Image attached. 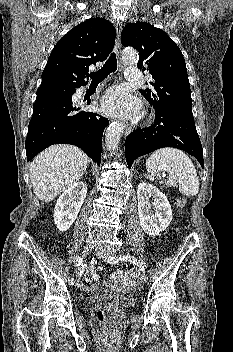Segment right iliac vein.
Returning <instances> with one entry per match:
<instances>
[{"mask_svg": "<svg viewBox=\"0 0 233 352\" xmlns=\"http://www.w3.org/2000/svg\"><path fill=\"white\" fill-rule=\"evenodd\" d=\"M91 251H92V247H91V246H86V247H84L83 250H82V255H83L84 257H87V256L91 253ZM79 285H80V281L77 280V281L75 282V287H79Z\"/></svg>", "mask_w": 233, "mask_h": 352, "instance_id": "right-iliac-vein-1", "label": "right iliac vein"}]
</instances>
